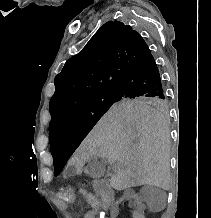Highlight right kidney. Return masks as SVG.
Segmentation results:
<instances>
[{
  "label": "right kidney",
  "instance_id": "1",
  "mask_svg": "<svg viewBox=\"0 0 211 218\" xmlns=\"http://www.w3.org/2000/svg\"><path fill=\"white\" fill-rule=\"evenodd\" d=\"M125 202H131V206H136V209H129V214L132 218H145L143 211H146L147 206H143L141 198H139V193H134L133 190H125L124 196L119 197V201L116 202L117 206H112L110 209V214L112 218L118 217L119 206H124Z\"/></svg>",
  "mask_w": 211,
  "mask_h": 218
}]
</instances>
